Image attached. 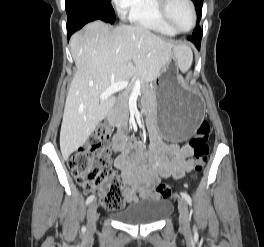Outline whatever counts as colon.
Returning <instances> with one entry per match:
<instances>
[{"instance_id": "colon-1", "label": "colon", "mask_w": 264, "mask_h": 247, "mask_svg": "<svg viewBox=\"0 0 264 247\" xmlns=\"http://www.w3.org/2000/svg\"><path fill=\"white\" fill-rule=\"evenodd\" d=\"M210 125L203 121L199 124L194 137L190 140L194 162V176L201 172L209 154L208 137ZM110 127L107 124L98 126L88 140L80 146L68 159L69 169L78 184L87 192L97 191L102 207L118 210L124 207L125 197L123 185L117 175L107 169ZM156 191L162 198L172 195L171 188L160 184Z\"/></svg>"}]
</instances>
